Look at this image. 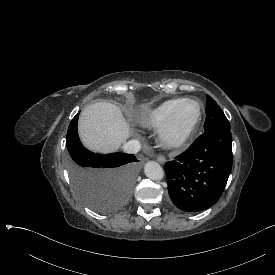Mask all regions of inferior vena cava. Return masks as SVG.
<instances>
[{
    "instance_id": "inferior-vena-cava-1",
    "label": "inferior vena cava",
    "mask_w": 275,
    "mask_h": 275,
    "mask_svg": "<svg viewBox=\"0 0 275 275\" xmlns=\"http://www.w3.org/2000/svg\"><path fill=\"white\" fill-rule=\"evenodd\" d=\"M140 142L138 140H130L123 145L124 152L134 154L140 150Z\"/></svg>"
}]
</instances>
